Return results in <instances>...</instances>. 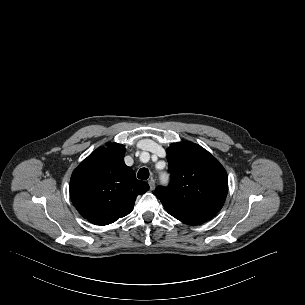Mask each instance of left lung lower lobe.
Listing matches in <instances>:
<instances>
[{
  "instance_id": "left-lung-lower-lobe-1",
  "label": "left lung lower lobe",
  "mask_w": 305,
  "mask_h": 305,
  "mask_svg": "<svg viewBox=\"0 0 305 305\" xmlns=\"http://www.w3.org/2000/svg\"><path fill=\"white\" fill-rule=\"evenodd\" d=\"M182 222L187 223V224H191V225L201 224L200 222H190V221H182Z\"/></svg>"
}]
</instances>
